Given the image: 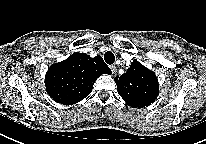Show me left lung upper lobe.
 <instances>
[{"instance_id":"1","label":"left lung upper lobe","mask_w":206,"mask_h":144,"mask_svg":"<svg viewBox=\"0 0 206 144\" xmlns=\"http://www.w3.org/2000/svg\"><path fill=\"white\" fill-rule=\"evenodd\" d=\"M115 83L118 94L131 107L149 106L158 96L156 75L137 60H133L126 73L115 78Z\"/></svg>"}]
</instances>
